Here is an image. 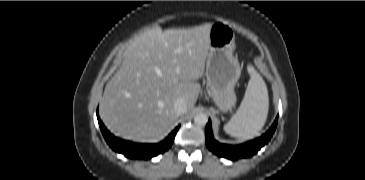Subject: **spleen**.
Returning <instances> with one entry per match:
<instances>
[{"mask_svg": "<svg viewBox=\"0 0 365 180\" xmlns=\"http://www.w3.org/2000/svg\"><path fill=\"white\" fill-rule=\"evenodd\" d=\"M250 80L237 112L224 125V131L239 139H248L263 128L269 109L267 86L252 65L248 66Z\"/></svg>", "mask_w": 365, "mask_h": 180, "instance_id": "spleen-1", "label": "spleen"}]
</instances>
